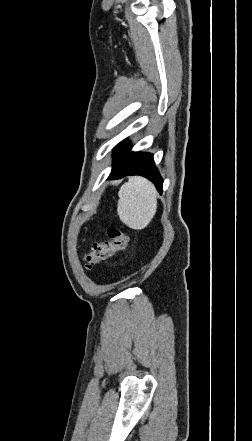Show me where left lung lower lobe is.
<instances>
[{"instance_id":"1","label":"left lung lower lobe","mask_w":252,"mask_h":441,"mask_svg":"<svg viewBox=\"0 0 252 441\" xmlns=\"http://www.w3.org/2000/svg\"><path fill=\"white\" fill-rule=\"evenodd\" d=\"M130 149L128 143L120 147L115 156L110 178L120 179L129 175H140L152 181L159 193H162L163 180L155 167L153 155L131 152Z\"/></svg>"}]
</instances>
